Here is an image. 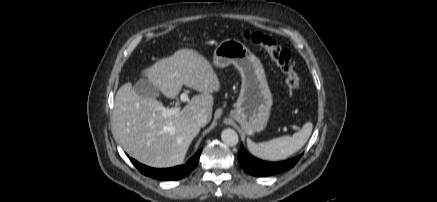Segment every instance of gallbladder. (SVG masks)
<instances>
[{
    "instance_id": "1",
    "label": "gallbladder",
    "mask_w": 437,
    "mask_h": 202,
    "mask_svg": "<svg viewBox=\"0 0 437 202\" xmlns=\"http://www.w3.org/2000/svg\"><path fill=\"white\" fill-rule=\"evenodd\" d=\"M133 90L136 94L143 97L156 98L159 94V90L152 84L149 79H140L133 86Z\"/></svg>"
}]
</instances>
